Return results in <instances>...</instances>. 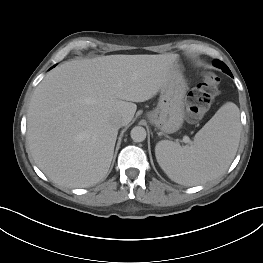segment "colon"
<instances>
[{"mask_svg": "<svg viewBox=\"0 0 263 263\" xmlns=\"http://www.w3.org/2000/svg\"><path fill=\"white\" fill-rule=\"evenodd\" d=\"M219 93V77L213 72H203L198 84L187 95V119L191 122H197L202 119Z\"/></svg>", "mask_w": 263, "mask_h": 263, "instance_id": "1", "label": "colon"}]
</instances>
